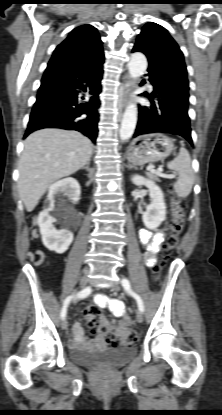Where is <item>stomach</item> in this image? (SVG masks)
I'll use <instances>...</instances> for the list:
<instances>
[{"mask_svg":"<svg viewBox=\"0 0 222 415\" xmlns=\"http://www.w3.org/2000/svg\"><path fill=\"white\" fill-rule=\"evenodd\" d=\"M174 150V140L163 133H151L135 138L127 153L133 165H144L166 158Z\"/></svg>","mask_w":222,"mask_h":415,"instance_id":"obj_1","label":"stomach"}]
</instances>
